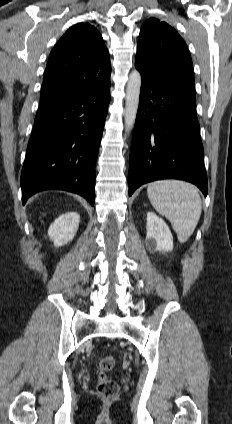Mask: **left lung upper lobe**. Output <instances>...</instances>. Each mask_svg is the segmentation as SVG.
Wrapping results in <instances>:
<instances>
[{
    "mask_svg": "<svg viewBox=\"0 0 232 424\" xmlns=\"http://www.w3.org/2000/svg\"><path fill=\"white\" fill-rule=\"evenodd\" d=\"M135 66L145 80L194 82L186 43L175 29L155 18L145 21L141 27Z\"/></svg>",
    "mask_w": 232,
    "mask_h": 424,
    "instance_id": "1",
    "label": "left lung upper lobe"
}]
</instances>
